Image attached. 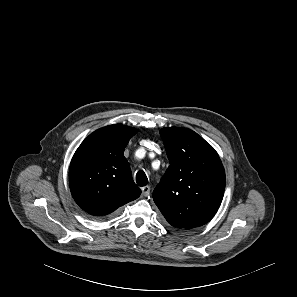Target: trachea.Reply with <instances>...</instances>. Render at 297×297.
<instances>
[{"label": "trachea", "instance_id": "obj_1", "mask_svg": "<svg viewBox=\"0 0 297 297\" xmlns=\"http://www.w3.org/2000/svg\"><path fill=\"white\" fill-rule=\"evenodd\" d=\"M136 183L140 186H145L148 184V178L144 171L140 170L136 174Z\"/></svg>", "mask_w": 297, "mask_h": 297}]
</instances>
